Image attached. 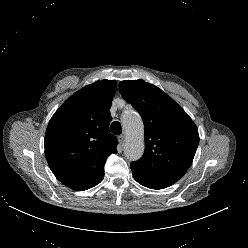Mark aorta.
<instances>
[{"label": "aorta", "instance_id": "obj_1", "mask_svg": "<svg viewBox=\"0 0 248 248\" xmlns=\"http://www.w3.org/2000/svg\"><path fill=\"white\" fill-rule=\"evenodd\" d=\"M122 125L126 135L124 153L130 160H137L144 152L142 119L137 112L129 110L122 115Z\"/></svg>", "mask_w": 248, "mask_h": 248}]
</instances>
